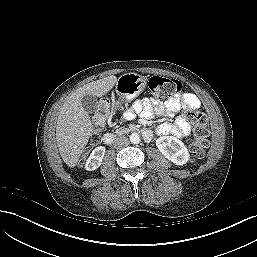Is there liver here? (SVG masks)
I'll return each instance as SVG.
<instances>
[{
    "label": "liver",
    "mask_w": 257,
    "mask_h": 257,
    "mask_svg": "<svg viewBox=\"0 0 257 257\" xmlns=\"http://www.w3.org/2000/svg\"><path fill=\"white\" fill-rule=\"evenodd\" d=\"M114 75L93 81L78 88L61 108L56 125V140L60 155L73 168L92 135L93 125L81 100L85 95L102 97L116 84Z\"/></svg>",
    "instance_id": "obj_1"
}]
</instances>
